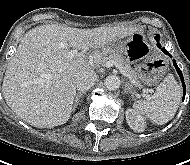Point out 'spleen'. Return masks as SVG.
I'll return each instance as SVG.
<instances>
[{"label": "spleen", "instance_id": "obj_1", "mask_svg": "<svg viewBox=\"0 0 190 165\" xmlns=\"http://www.w3.org/2000/svg\"><path fill=\"white\" fill-rule=\"evenodd\" d=\"M181 94L180 85L172 74H168L157 86L152 99L135 101L133 109L153 123L163 125L174 117L180 104Z\"/></svg>", "mask_w": 190, "mask_h": 165}]
</instances>
